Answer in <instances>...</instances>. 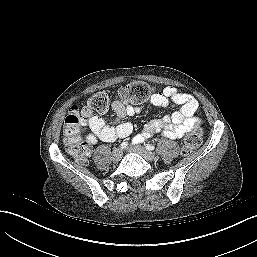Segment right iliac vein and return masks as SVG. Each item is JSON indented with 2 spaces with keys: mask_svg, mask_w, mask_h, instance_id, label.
I'll list each match as a JSON object with an SVG mask.
<instances>
[{
  "mask_svg": "<svg viewBox=\"0 0 257 257\" xmlns=\"http://www.w3.org/2000/svg\"><path fill=\"white\" fill-rule=\"evenodd\" d=\"M122 157V150L120 148H115L112 152V160L118 162Z\"/></svg>",
  "mask_w": 257,
  "mask_h": 257,
  "instance_id": "obj_1",
  "label": "right iliac vein"
}]
</instances>
